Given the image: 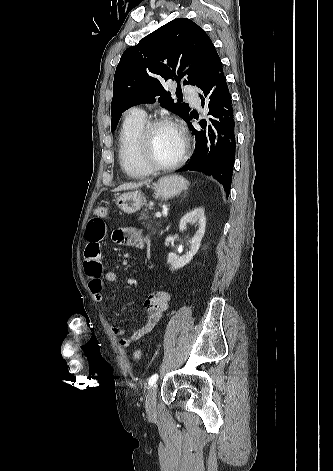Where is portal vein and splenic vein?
Instances as JSON below:
<instances>
[{"mask_svg":"<svg viewBox=\"0 0 333 471\" xmlns=\"http://www.w3.org/2000/svg\"><path fill=\"white\" fill-rule=\"evenodd\" d=\"M155 217H156V218H161V217H162V214H161L160 212H156V213H155Z\"/></svg>","mask_w":333,"mask_h":471,"instance_id":"18ae733b","label":"portal vein and splenic vein"}]
</instances>
